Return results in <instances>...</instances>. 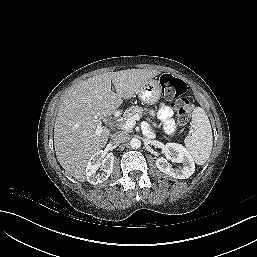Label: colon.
I'll return each instance as SVG.
<instances>
[{"mask_svg":"<svg viewBox=\"0 0 257 257\" xmlns=\"http://www.w3.org/2000/svg\"><path fill=\"white\" fill-rule=\"evenodd\" d=\"M163 96L173 101L172 106L176 113L178 122L181 125L186 124L191 115L192 105L185 96L187 91L186 83L171 74H163L159 79Z\"/></svg>","mask_w":257,"mask_h":257,"instance_id":"1","label":"colon"}]
</instances>
